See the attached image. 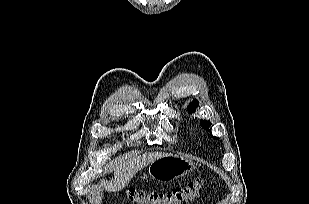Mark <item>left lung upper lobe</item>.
Wrapping results in <instances>:
<instances>
[{
	"mask_svg": "<svg viewBox=\"0 0 309 204\" xmlns=\"http://www.w3.org/2000/svg\"><path fill=\"white\" fill-rule=\"evenodd\" d=\"M198 105H199L198 100L194 99L193 102L190 103V104L188 105V113L192 114V113L196 110V108H197ZM200 124H201L205 129H209V127H210V125H211V123H210L209 121H206V120H201V121H200ZM210 132H211V131H210ZM211 136L214 137L213 135H211ZM214 138L219 139L218 137H214Z\"/></svg>",
	"mask_w": 309,
	"mask_h": 204,
	"instance_id": "obj_1",
	"label": "left lung upper lobe"
}]
</instances>
